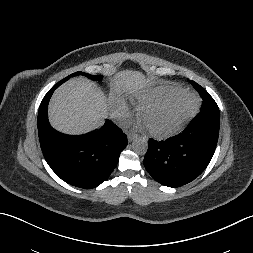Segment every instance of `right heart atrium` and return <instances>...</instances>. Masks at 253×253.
I'll list each match as a JSON object with an SVG mask.
<instances>
[{
  "mask_svg": "<svg viewBox=\"0 0 253 253\" xmlns=\"http://www.w3.org/2000/svg\"><path fill=\"white\" fill-rule=\"evenodd\" d=\"M123 113H124V115H126V116L128 115V111H127L126 108L123 109Z\"/></svg>",
  "mask_w": 253,
  "mask_h": 253,
  "instance_id": "1",
  "label": "right heart atrium"
}]
</instances>
